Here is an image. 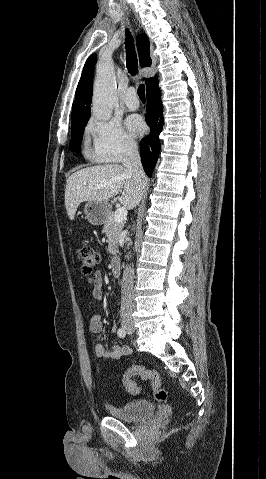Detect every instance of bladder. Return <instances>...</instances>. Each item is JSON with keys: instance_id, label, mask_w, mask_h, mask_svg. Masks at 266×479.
<instances>
[{"instance_id": "31cf9c89", "label": "bladder", "mask_w": 266, "mask_h": 479, "mask_svg": "<svg viewBox=\"0 0 266 479\" xmlns=\"http://www.w3.org/2000/svg\"><path fill=\"white\" fill-rule=\"evenodd\" d=\"M110 416L124 422H138L151 417L155 413V405L149 400L130 401L120 405L107 407Z\"/></svg>"}]
</instances>
